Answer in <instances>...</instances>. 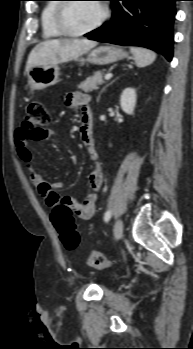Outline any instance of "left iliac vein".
<instances>
[{"instance_id": "4c4485c4", "label": "left iliac vein", "mask_w": 193, "mask_h": 349, "mask_svg": "<svg viewBox=\"0 0 193 349\" xmlns=\"http://www.w3.org/2000/svg\"><path fill=\"white\" fill-rule=\"evenodd\" d=\"M123 234V222L121 219H118L113 228V235L115 240H119L122 237Z\"/></svg>"}]
</instances>
